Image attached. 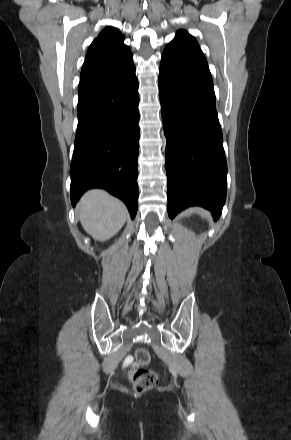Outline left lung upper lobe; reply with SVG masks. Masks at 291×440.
Listing matches in <instances>:
<instances>
[{
    "mask_svg": "<svg viewBox=\"0 0 291 440\" xmlns=\"http://www.w3.org/2000/svg\"><path fill=\"white\" fill-rule=\"evenodd\" d=\"M163 55L179 61L208 67L206 58L196 39L184 30L177 32L175 38L166 46Z\"/></svg>",
    "mask_w": 291,
    "mask_h": 440,
    "instance_id": "obj_1",
    "label": "left lung upper lobe"
}]
</instances>
